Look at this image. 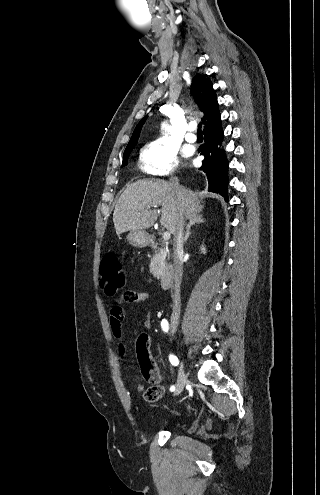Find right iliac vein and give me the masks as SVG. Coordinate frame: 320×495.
I'll return each instance as SVG.
<instances>
[{"mask_svg":"<svg viewBox=\"0 0 320 495\" xmlns=\"http://www.w3.org/2000/svg\"><path fill=\"white\" fill-rule=\"evenodd\" d=\"M185 381H186V379H185L184 369H183V366H181L179 373H178V379H177V383H176V387H175V392H174L175 395H179L183 391Z\"/></svg>","mask_w":320,"mask_h":495,"instance_id":"63e3f726","label":"right iliac vein"}]
</instances>
